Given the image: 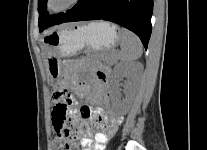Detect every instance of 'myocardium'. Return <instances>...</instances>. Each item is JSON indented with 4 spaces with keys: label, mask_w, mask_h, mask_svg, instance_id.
<instances>
[{
    "label": "myocardium",
    "mask_w": 207,
    "mask_h": 150,
    "mask_svg": "<svg viewBox=\"0 0 207 150\" xmlns=\"http://www.w3.org/2000/svg\"><path fill=\"white\" fill-rule=\"evenodd\" d=\"M81 0H70L69 3L67 5H65L64 7L60 8V9H53L51 7V0H46V9L53 14H61L64 13L70 9H72L73 7H75L77 4L80 3Z\"/></svg>",
    "instance_id": "myocardium-1"
}]
</instances>
